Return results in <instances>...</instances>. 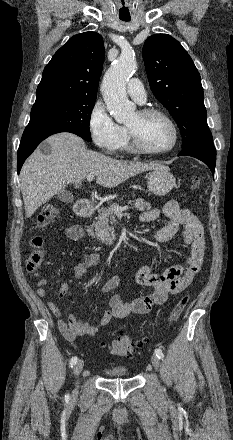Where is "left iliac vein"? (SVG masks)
<instances>
[{
  "mask_svg": "<svg viewBox=\"0 0 233 440\" xmlns=\"http://www.w3.org/2000/svg\"><path fill=\"white\" fill-rule=\"evenodd\" d=\"M151 362H152L153 367H154L156 370H158L159 367H160V360H159V358H158L156 355H153V356L151 357Z\"/></svg>",
  "mask_w": 233,
  "mask_h": 440,
  "instance_id": "left-iliac-vein-1",
  "label": "left iliac vein"
}]
</instances>
